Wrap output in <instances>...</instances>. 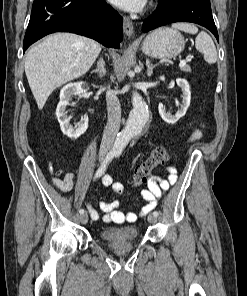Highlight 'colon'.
<instances>
[{"mask_svg": "<svg viewBox=\"0 0 247 296\" xmlns=\"http://www.w3.org/2000/svg\"><path fill=\"white\" fill-rule=\"evenodd\" d=\"M168 159V152L164 146L156 147L151 155L140 165H138L134 171L133 184L134 186H140L148 181V178L154 168L164 164Z\"/></svg>", "mask_w": 247, "mask_h": 296, "instance_id": "1", "label": "colon"}]
</instances>
